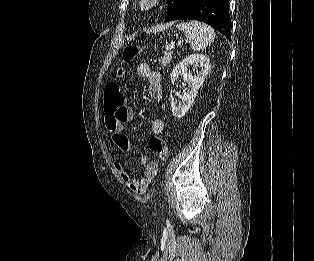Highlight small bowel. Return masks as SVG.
<instances>
[{
	"label": "small bowel",
	"instance_id": "1",
	"mask_svg": "<svg viewBox=\"0 0 314 261\" xmlns=\"http://www.w3.org/2000/svg\"><path fill=\"white\" fill-rule=\"evenodd\" d=\"M139 76L146 78L148 81V94L153 101H161L163 98V90L161 84V75L159 72L152 70L148 63H139L136 67ZM105 116V127L111 134L112 141L115 146L123 152H133L134 146L130 138L124 131V126L132 117V111L127 105H123L115 111H107ZM164 129V122L155 118L151 122V132L159 135ZM144 165L143 175L136 177L127 172L120 163H114V169L119 174L128 189L136 195H144L150 183L156 178L159 165L155 161H149L146 156L141 158Z\"/></svg>",
	"mask_w": 314,
	"mask_h": 261
}]
</instances>
